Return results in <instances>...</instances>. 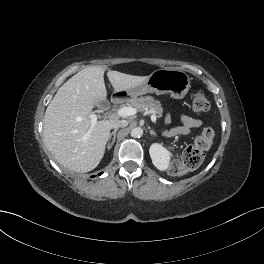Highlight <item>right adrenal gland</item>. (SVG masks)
Instances as JSON below:
<instances>
[{"label": "right adrenal gland", "instance_id": "obj_1", "mask_svg": "<svg viewBox=\"0 0 264 264\" xmlns=\"http://www.w3.org/2000/svg\"><path fill=\"white\" fill-rule=\"evenodd\" d=\"M117 130L118 129H114V131L110 134V136H109V141L111 140V137L113 136V138H112V142L111 143H109V145H108V149H110L111 148V146L114 144V142H115V139H116V132H117Z\"/></svg>", "mask_w": 264, "mask_h": 264}]
</instances>
